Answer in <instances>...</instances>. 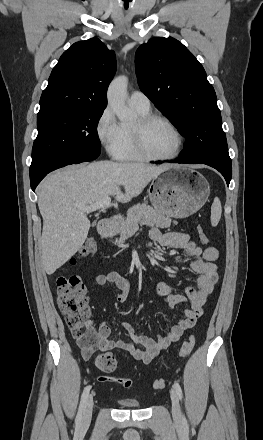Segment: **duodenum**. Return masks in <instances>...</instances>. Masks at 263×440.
Wrapping results in <instances>:
<instances>
[{"label":"duodenum","instance_id":"duodenum-1","mask_svg":"<svg viewBox=\"0 0 263 440\" xmlns=\"http://www.w3.org/2000/svg\"><path fill=\"white\" fill-rule=\"evenodd\" d=\"M111 223H112L111 218H109V217L103 218L99 224L100 234L104 235L105 237H108L109 227H110Z\"/></svg>","mask_w":263,"mask_h":440}]
</instances>
